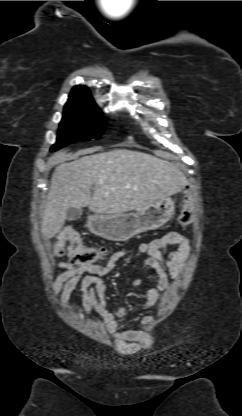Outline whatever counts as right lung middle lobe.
I'll return each instance as SVG.
<instances>
[{
  "label": "right lung middle lobe",
  "instance_id": "obj_1",
  "mask_svg": "<svg viewBox=\"0 0 242 416\" xmlns=\"http://www.w3.org/2000/svg\"><path fill=\"white\" fill-rule=\"evenodd\" d=\"M106 129L105 119L95 103L68 105L64 107L57 142L51 151L72 142L99 138Z\"/></svg>",
  "mask_w": 242,
  "mask_h": 416
}]
</instances>
